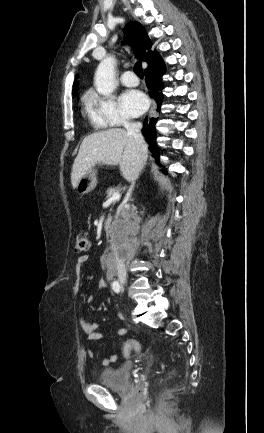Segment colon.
Here are the masks:
<instances>
[{
	"mask_svg": "<svg viewBox=\"0 0 264 433\" xmlns=\"http://www.w3.org/2000/svg\"><path fill=\"white\" fill-rule=\"evenodd\" d=\"M91 248V241L89 239V236L81 232L77 235L76 241L74 244V251L78 254H84L87 253ZM141 349V346L138 341L135 340H128L123 345V355L125 357L130 356L132 353H139Z\"/></svg>",
	"mask_w": 264,
	"mask_h": 433,
	"instance_id": "5ec220e1",
	"label": "colon"
}]
</instances>
